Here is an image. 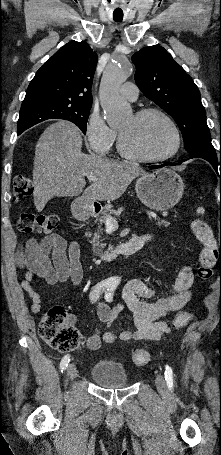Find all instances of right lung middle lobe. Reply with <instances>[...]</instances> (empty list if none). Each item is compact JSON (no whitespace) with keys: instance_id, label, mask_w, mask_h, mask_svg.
<instances>
[{"instance_id":"dd1d6c3e","label":"right lung middle lobe","mask_w":221,"mask_h":455,"mask_svg":"<svg viewBox=\"0 0 221 455\" xmlns=\"http://www.w3.org/2000/svg\"><path fill=\"white\" fill-rule=\"evenodd\" d=\"M91 103L40 102L22 105L17 122V133L47 119H65L76 124L86 134Z\"/></svg>"}]
</instances>
